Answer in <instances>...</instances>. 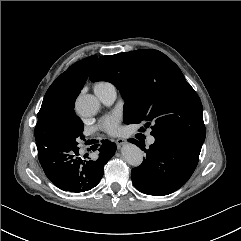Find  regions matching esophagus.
<instances>
[{
  "instance_id": "esophagus-1",
  "label": "esophagus",
  "mask_w": 241,
  "mask_h": 241,
  "mask_svg": "<svg viewBox=\"0 0 241 241\" xmlns=\"http://www.w3.org/2000/svg\"><path fill=\"white\" fill-rule=\"evenodd\" d=\"M125 143H126V140L123 139V138H118V139H116V144H117L119 147L123 146Z\"/></svg>"
}]
</instances>
